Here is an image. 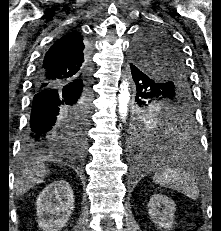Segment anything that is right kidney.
I'll list each match as a JSON object with an SVG mask.
<instances>
[{
    "mask_svg": "<svg viewBox=\"0 0 221 231\" xmlns=\"http://www.w3.org/2000/svg\"><path fill=\"white\" fill-rule=\"evenodd\" d=\"M38 225L43 231H59L69 221L74 209V194L65 180L46 186L37 198Z\"/></svg>",
    "mask_w": 221,
    "mask_h": 231,
    "instance_id": "right-kidney-1",
    "label": "right kidney"
}]
</instances>
